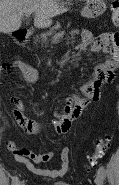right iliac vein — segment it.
<instances>
[{
    "label": "right iliac vein",
    "mask_w": 119,
    "mask_h": 185,
    "mask_svg": "<svg viewBox=\"0 0 119 185\" xmlns=\"http://www.w3.org/2000/svg\"><path fill=\"white\" fill-rule=\"evenodd\" d=\"M18 185H23V184L21 182H19Z\"/></svg>",
    "instance_id": "right-iliac-vein-1"
}]
</instances>
